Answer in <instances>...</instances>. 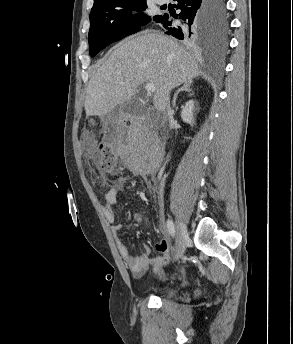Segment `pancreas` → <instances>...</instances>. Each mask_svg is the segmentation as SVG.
<instances>
[{
	"label": "pancreas",
	"mask_w": 293,
	"mask_h": 344,
	"mask_svg": "<svg viewBox=\"0 0 293 344\" xmlns=\"http://www.w3.org/2000/svg\"><path fill=\"white\" fill-rule=\"evenodd\" d=\"M143 132L141 130H139L137 133H136V136H141Z\"/></svg>",
	"instance_id": "obj_1"
}]
</instances>
